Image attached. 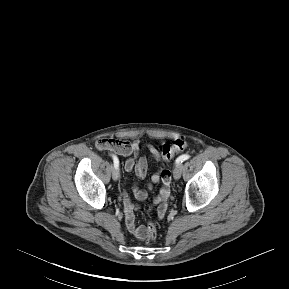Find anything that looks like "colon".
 <instances>
[{
    "mask_svg": "<svg viewBox=\"0 0 289 289\" xmlns=\"http://www.w3.org/2000/svg\"><path fill=\"white\" fill-rule=\"evenodd\" d=\"M187 147V143L183 139H177L171 144H166L162 147L161 155L165 160H170L177 153L183 151ZM170 194V192H169ZM147 240H155L157 237V231L152 222H149L146 227Z\"/></svg>",
    "mask_w": 289,
    "mask_h": 289,
    "instance_id": "colon-1",
    "label": "colon"
}]
</instances>
